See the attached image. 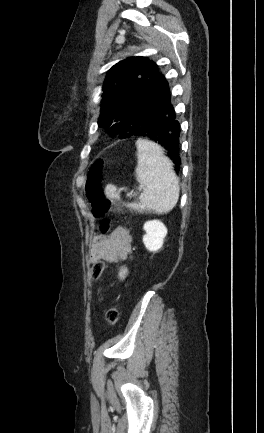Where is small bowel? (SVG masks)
Masks as SVG:
<instances>
[{"mask_svg": "<svg viewBox=\"0 0 264 433\" xmlns=\"http://www.w3.org/2000/svg\"><path fill=\"white\" fill-rule=\"evenodd\" d=\"M131 236L127 229L116 228L110 234H99L94 238L90 261L106 260L115 263L130 258Z\"/></svg>", "mask_w": 264, "mask_h": 433, "instance_id": "obj_1", "label": "small bowel"}]
</instances>
